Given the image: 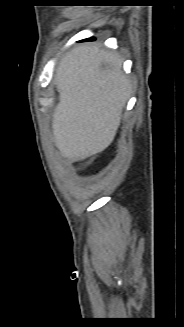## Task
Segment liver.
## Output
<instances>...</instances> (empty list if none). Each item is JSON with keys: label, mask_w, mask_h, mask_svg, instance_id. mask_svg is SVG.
Returning a JSON list of instances; mask_svg holds the SVG:
<instances>
[{"label": "liver", "mask_w": 184, "mask_h": 327, "mask_svg": "<svg viewBox=\"0 0 184 327\" xmlns=\"http://www.w3.org/2000/svg\"><path fill=\"white\" fill-rule=\"evenodd\" d=\"M121 65L119 57L97 44L77 46L61 58L52 130L64 157L82 160L112 143L131 89Z\"/></svg>", "instance_id": "liver-1"}]
</instances>
